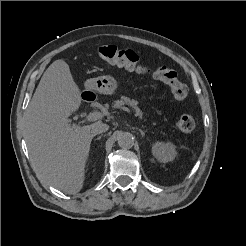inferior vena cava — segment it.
<instances>
[{
	"instance_id": "602c4592",
	"label": "inferior vena cava",
	"mask_w": 246,
	"mask_h": 246,
	"mask_svg": "<svg viewBox=\"0 0 246 246\" xmlns=\"http://www.w3.org/2000/svg\"><path fill=\"white\" fill-rule=\"evenodd\" d=\"M109 129V126L102 122H96L92 124L91 128V134L92 136H95L97 134H101L103 132H106Z\"/></svg>"
}]
</instances>
